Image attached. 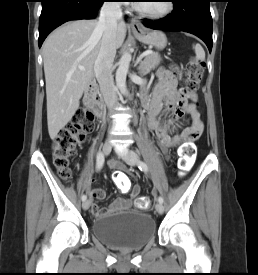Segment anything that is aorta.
Instances as JSON below:
<instances>
[{
    "label": "aorta",
    "mask_w": 258,
    "mask_h": 275,
    "mask_svg": "<svg viewBox=\"0 0 258 275\" xmlns=\"http://www.w3.org/2000/svg\"><path fill=\"white\" fill-rule=\"evenodd\" d=\"M131 61V54L129 52H125L118 65V69L116 71V84L122 94L127 95V87H126V76L129 70V65Z\"/></svg>",
    "instance_id": "762f6f07"
}]
</instances>
